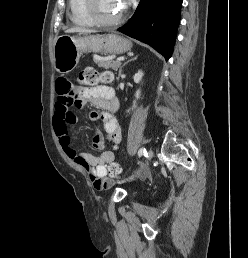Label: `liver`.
<instances>
[{
  "mask_svg": "<svg viewBox=\"0 0 248 258\" xmlns=\"http://www.w3.org/2000/svg\"><path fill=\"white\" fill-rule=\"evenodd\" d=\"M67 33H94L95 30L86 29L82 27H73L68 30H66Z\"/></svg>",
  "mask_w": 248,
  "mask_h": 258,
  "instance_id": "liver-1",
  "label": "liver"
}]
</instances>
